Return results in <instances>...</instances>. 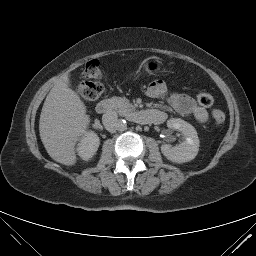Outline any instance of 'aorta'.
<instances>
[{
	"label": "aorta",
	"mask_w": 256,
	"mask_h": 256,
	"mask_svg": "<svg viewBox=\"0 0 256 256\" xmlns=\"http://www.w3.org/2000/svg\"><path fill=\"white\" fill-rule=\"evenodd\" d=\"M126 129H127L126 120H119L117 130H119V131H124V130H126Z\"/></svg>",
	"instance_id": "762f6f07"
}]
</instances>
